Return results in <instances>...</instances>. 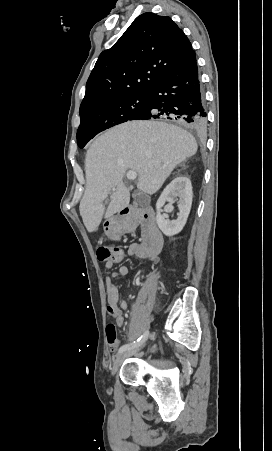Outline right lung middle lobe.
I'll list each match as a JSON object with an SVG mask.
<instances>
[{
    "instance_id": "1",
    "label": "right lung middle lobe",
    "mask_w": 272,
    "mask_h": 451,
    "mask_svg": "<svg viewBox=\"0 0 272 451\" xmlns=\"http://www.w3.org/2000/svg\"><path fill=\"white\" fill-rule=\"evenodd\" d=\"M149 94L112 99L80 113L77 144L83 148L98 133L128 120H135L148 109Z\"/></svg>"
}]
</instances>
